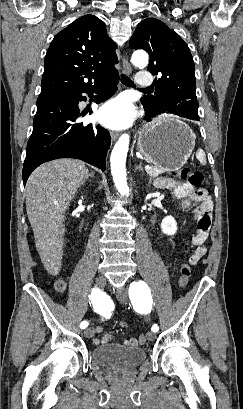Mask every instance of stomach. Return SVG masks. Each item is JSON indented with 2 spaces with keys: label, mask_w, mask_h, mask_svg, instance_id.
Wrapping results in <instances>:
<instances>
[{
  "label": "stomach",
  "mask_w": 243,
  "mask_h": 409,
  "mask_svg": "<svg viewBox=\"0 0 243 409\" xmlns=\"http://www.w3.org/2000/svg\"><path fill=\"white\" fill-rule=\"evenodd\" d=\"M195 139V134L186 123L164 116L142 128L137 149L156 167L165 171H176L192 154Z\"/></svg>",
  "instance_id": "obj_1"
}]
</instances>
